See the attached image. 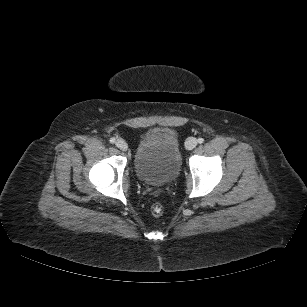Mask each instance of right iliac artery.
<instances>
[{"label": "right iliac artery", "instance_id": "1", "mask_svg": "<svg viewBox=\"0 0 307 307\" xmlns=\"http://www.w3.org/2000/svg\"><path fill=\"white\" fill-rule=\"evenodd\" d=\"M110 142H111V143H115V142H116V139H115V138H110Z\"/></svg>", "mask_w": 307, "mask_h": 307}]
</instances>
